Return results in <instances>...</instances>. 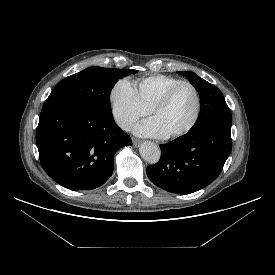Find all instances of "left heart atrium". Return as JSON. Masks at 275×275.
Segmentation results:
<instances>
[{
	"instance_id": "obj_1",
	"label": "left heart atrium",
	"mask_w": 275,
	"mask_h": 275,
	"mask_svg": "<svg viewBox=\"0 0 275 275\" xmlns=\"http://www.w3.org/2000/svg\"><path fill=\"white\" fill-rule=\"evenodd\" d=\"M135 133L144 137L163 138L166 133L155 118H149L135 127Z\"/></svg>"
}]
</instances>
